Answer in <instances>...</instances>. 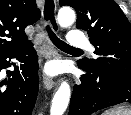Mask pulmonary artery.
Returning <instances> with one entry per match:
<instances>
[{
  "label": "pulmonary artery",
  "mask_w": 131,
  "mask_h": 115,
  "mask_svg": "<svg viewBox=\"0 0 131 115\" xmlns=\"http://www.w3.org/2000/svg\"><path fill=\"white\" fill-rule=\"evenodd\" d=\"M68 44L72 47H90L89 40L85 34L77 29H72L68 37Z\"/></svg>",
  "instance_id": "e3ab8cb5"
}]
</instances>
